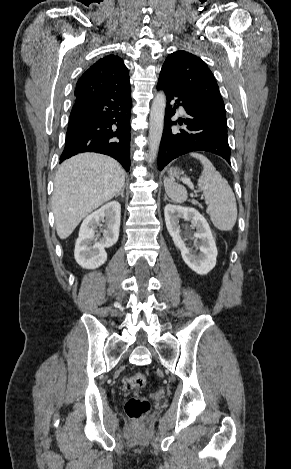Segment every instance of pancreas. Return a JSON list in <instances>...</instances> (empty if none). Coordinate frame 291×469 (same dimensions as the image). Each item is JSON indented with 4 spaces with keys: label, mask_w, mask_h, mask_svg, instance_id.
<instances>
[{
    "label": "pancreas",
    "mask_w": 291,
    "mask_h": 469,
    "mask_svg": "<svg viewBox=\"0 0 291 469\" xmlns=\"http://www.w3.org/2000/svg\"><path fill=\"white\" fill-rule=\"evenodd\" d=\"M191 203L194 204V205H198L199 207H202V206L198 203V201H196V200H191Z\"/></svg>",
    "instance_id": "obj_1"
}]
</instances>
